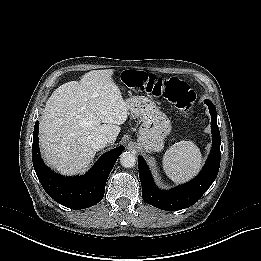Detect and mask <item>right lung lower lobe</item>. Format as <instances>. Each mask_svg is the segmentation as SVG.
<instances>
[{"label":"right lung lower lobe","instance_id":"obj_1","mask_svg":"<svg viewBox=\"0 0 261 261\" xmlns=\"http://www.w3.org/2000/svg\"><path fill=\"white\" fill-rule=\"evenodd\" d=\"M38 130L39 122L36 121L32 160L37 177L47 194L71 209H84L97 204L104 196L107 178L124 147L119 146L102 155L84 176L63 177L52 172L40 158Z\"/></svg>","mask_w":261,"mask_h":261}]
</instances>
